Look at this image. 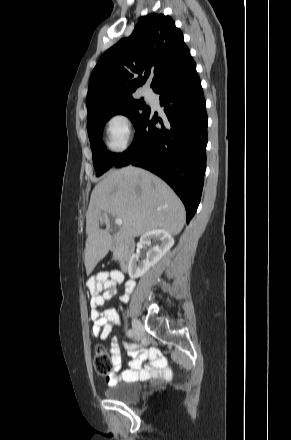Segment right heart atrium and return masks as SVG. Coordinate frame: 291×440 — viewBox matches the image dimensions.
<instances>
[{"label":"right heart atrium","instance_id":"1","mask_svg":"<svg viewBox=\"0 0 291 440\" xmlns=\"http://www.w3.org/2000/svg\"><path fill=\"white\" fill-rule=\"evenodd\" d=\"M105 140L107 147L114 152H122L127 149L132 140V125L125 114L116 113L107 119Z\"/></svg>","mask_w":291,"mask_h":440}]
</instances>
